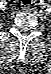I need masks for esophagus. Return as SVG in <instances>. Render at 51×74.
I'll list each match as a JSON object with an SVG mask.
<instances>
[{
	"label": "esophagus",
	"mask_w": 51,
	"mask_h": 74,
	"mask_svg": "<svg viewBox=\"0 0 51 74\" xmlns=\"http://www.w3.org/2000/svg\"><path fill=\"white\" fill-rule=\"evenodd\" d=\"M24 9H25V10H28L29 8H28V7H24Z\"/></svg>",
	"instance_id": "obj_1"
}]
</instances>
